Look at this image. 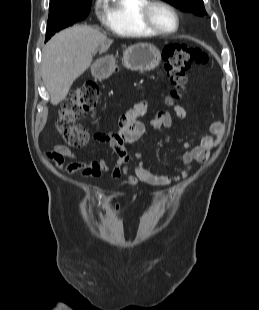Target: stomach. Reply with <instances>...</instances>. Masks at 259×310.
I'll use <instances>...</instances> for the list:
<instances>
[{"label": "stomach", "mask_w": 259, "mask_h": 310, "mask_svg": "<svg viewBox=\"0 0 259 310\" xmlns=\"http://www.w3.org/2000/svg\"><path fill=\"white\" fill-rule=\"evenodd\" d=\"M161 59L160 51L148 43L132 45L123 53V65L132 71H151L159 65ZM114 63L113 56L103 57L92 66V73L97 78H107L112 73Z\"/></svg>", "instance_id": "0dacf381"}]
</instances>
